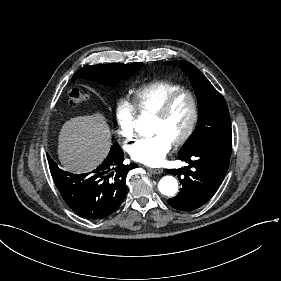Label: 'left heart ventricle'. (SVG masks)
Masks as SVG:
<instances>
[{
	"label": "left heart ventricle",
	"instance_id": "obj_1",
	"mask_svg": "<svg viewBox=\"0 0 281 281\" xmlns=\"http://www.w3.org/2000/svg\"><path fill=\"white\" fill-rule=\"evenodd\" d=\"M191 116V106L187 97L179 98L162 119L149 117L150 136L157 133L165 135L171 141L183 134Z\"/></svg>",
	"mask_w": 281,
	"mask_h": 281
}]
</instances>
